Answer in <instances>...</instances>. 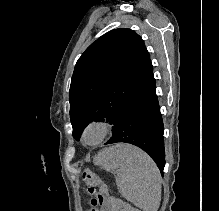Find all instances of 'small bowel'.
Instances as JSON below:
<instances>
[{
    "instance_id": "1",
    "label": "small bowel",
    "mask_w": 219,
    "mask_h": 211,
    "mask_svg": "<svg viewBox=\"0 0 219 211\" xmlns=\"http://www.w3.org/2000/svg\"><path fill=\"white\" fill-rule=\"evenodd\" d=\"M101 208L97 211H110V204L108 201H101L100 202Z\"/></svg>"
}]
</instances>
